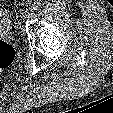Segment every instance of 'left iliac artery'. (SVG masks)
I'll return each mask as SVG.
<instances>
[{"label":"left iliac artery","instance_id":"1","mask_svg":"<svg viewBox=\"0 0 113 113\" xmlns=\"http://www.w3.org/2000/svg\"><path fill=\"white\" fill-rule=\"evenodd\" d=\"M40 6H41L40 1H35L33 6H32L33 11L39 10Z\"/></svg>","mask_w":113,"mask_h":113}]
</instances>
